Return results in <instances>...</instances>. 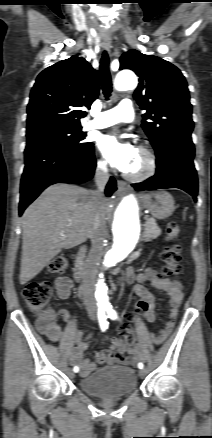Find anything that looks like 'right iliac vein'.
Returning a JSON list of instances; mask_svg holds the SVG:
<instances>
[{
  "label": "right iliac vein",
  "instance_id": "obj_1",
  "mask_svg": "<svg viewBox=\"0 0 212 438\" xmlns=\"http://www.w3.org/2000/svg\"><path fill=\"white\" fill-rule=\"evenodd\" d=\"M69 375L70 377H74V374L71 371H69Z\"/></svg>",
  "mask_w": 212,
  "mask_h": 438
}]
</instances>
